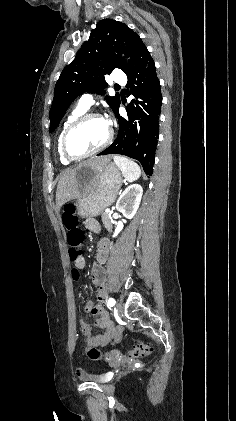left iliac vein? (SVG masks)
Listing matches in <instances>:
<instances>
[{
    "label": "left iliac vein",
    "instance_id": "left-iliac-vein-1",
    "mask_svg": "<svg viewBox=\"0 0 236 421\" xmlns=\"http://www.w3.org/2000/svg\"><path fill=\"white\" fill-rule=\"evenodd\" d=\"M117 309V315L121 316L122 315V311H123V304L122 303H118L116 306Z\"/></svg>",
    "mask_w": 236,
    "mask_h": 421
}]
</instances>
